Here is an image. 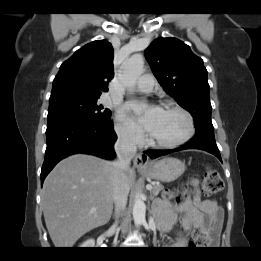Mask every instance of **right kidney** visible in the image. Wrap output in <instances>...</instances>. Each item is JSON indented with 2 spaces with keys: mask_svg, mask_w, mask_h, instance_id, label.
<instances>
[{
  "mask_svg": "<svg viewBox=\"0 0 261 261\" xmlns=\"http://www.w3.org/2000/svg\"><path fill=\"white\" fill-rule=\"evenodd\" d=\"M95 246L94 239H89L83 242V244L80 246L81 248H93Z\"/></svg>",
  "mask_w": 261,
  "mask_h": 261,
  "instance_id": "obj_1",
  "label": "right kidney"
}]
</instances>
